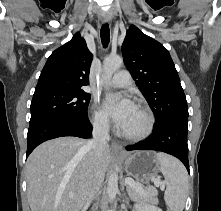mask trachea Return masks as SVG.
Here are the masks:
<instances>
[{"instance_id": "3493384b", "label": "trachea", "mask_w": 221, "mask_h": 211, "mask_svg": "<svg viewBox=\"0 0 221 211\" xmlns=\"http://www.w3.org/2000/svg\"><path fill=\"white\" fill-rule=\"evenodd\" d=\"M100 36H101L102 45L104 48H106L110 41V29L107 23L102 25L100 30Z\"/></svg>"}]
</instances>
